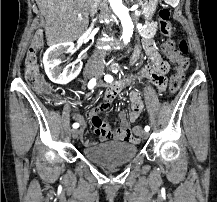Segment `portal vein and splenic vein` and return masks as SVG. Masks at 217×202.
Here are the masks:
<instances>
[{
	"mask_svg": "<svg viewBox=\"0 0 217 202\" xmlns=\"http://www.w3.org/2000/svg\"><path fill=\"white\" fill-rule=\"evenodd\" d=\"M77 20H82V18H80V14H79V16H78Z\"/></svg>",
	"mask_w": 217,
	"mask_h": 202,
	"instance_id": "18ae733b",
	"label": "portal vein and splenic vein"
}]
</instances>
